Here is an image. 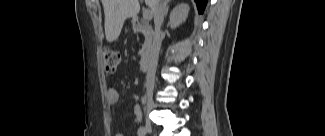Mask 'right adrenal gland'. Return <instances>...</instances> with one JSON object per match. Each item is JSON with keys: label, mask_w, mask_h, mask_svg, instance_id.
Wrapping results in <instances>:
<instances>
[{"label": "right adrenal gland", "mask_w": 325, "mask_h": 136, "mask_svg": "<svg viewBox=\"0 0 325 136\" xmlns=\"http://www.w3.org/2000/svg\"><path fill=\"white\" fill-rule=\"evenodd\" d=\"M171 2V0H164L163 1V19L166 17L167 13H168V9H169V3Z\"/></svg>", "instance_id": "obj_1"}]
</instances>
